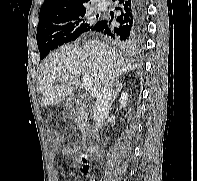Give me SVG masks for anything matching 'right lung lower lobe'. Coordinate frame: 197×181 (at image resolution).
<instances>
[{
	"instance_id": "1",
	"label": "right lung lower lobe",
	"mask_w": 197,
	"mask_h": 181,
	"mask_svg": "<svg viewBox=\"0 0 197 181\" xmlns=\"http://www.w3.org/2000/svg\"><path fill=\"white\" fill-rule=\"evenodd\" d=\"M117 3L119 15L116 23L101 20L96 22L92 31L101 32L112 38L120 39L128 44L134 41L141 33L146 17V0H113Z\"/></svg>"
}]
</instances>
